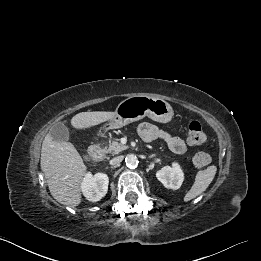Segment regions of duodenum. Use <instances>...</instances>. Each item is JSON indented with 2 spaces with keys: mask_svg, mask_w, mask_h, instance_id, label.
I'll return each mask as SVG.
<instances>
[{
  "mask_svg": "<svg viewBox=\"0 0 261 261\" xmlns=\"http://www.w3.org/2000/svg\"><path fill=\"white\" fill-rule=\"evenodd\" d=\"M88 154L92 161L98 162L103 158L104 151L99 143H95L89 148Z\"/></svg>",
  "mask_w": 261,
  "mask_h": 261,
  "instance_id": "duodenum-1",
  "label": "duodenum"
}]
</instances>
